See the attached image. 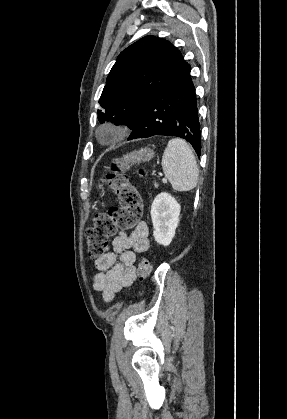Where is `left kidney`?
<instances>
[{
    "label": "left kidney",
    "instance_id": "5707ae66",
    "mask_svg": "<svg viewBox=\"0 0 287 419\" xmlns=\"http://www.w3.org/2000/svg\"><path fill=\"white\" fill-rule=\"evenodd\" d=\"M181 207L169 193L158 194L151 206V219L153 223V236L155 241L168 246L175 236L179 224Z\"/></svg>",
    "mask_w": 287,
    "mask_h": 419
}]
</instances>
